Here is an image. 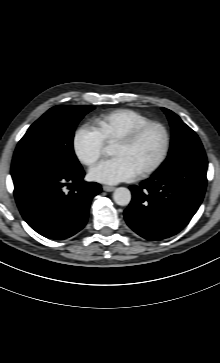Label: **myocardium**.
<instances>
[{
    "instance_id": "myocardium-1",
    "label": "myocardium",
    "mask_w": 220,
    "mask_h": 363,
    "mask_svg": "<svg viewBox=\"0 0 220 363\" xmlns=\"http://www.w3.org/2000/svg\"><path fill=\"white\" fill-rule=\"evenodd\" d=\"M151 128H157L162 132L163 146L156 161L150 166L138 172L137 176L140 178L147 177L156 172L158 169L161 168V166L165 163L168 157L171 146V135L166 125L159 121H150L124 134L115 141V144L125 146L132 145L137 142L143 136V134Z\"/></svg>"
}]
</instances>
